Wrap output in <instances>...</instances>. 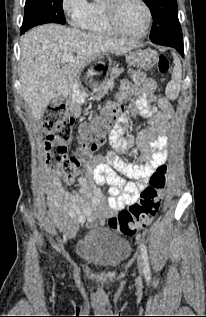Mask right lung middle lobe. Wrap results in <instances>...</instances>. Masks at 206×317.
<instances>
[{"mask_svg":"<svg viewBox=\"0 0 206 317\" xmlns=\"http://www.w3.org/2000/svg\"><path fill=\"white\" fill-rule=\"evenodd\" d=\"M44 23L65 24L62 0H26L21 34Z\"/></svg>","mask_w":206,"mask_h":317,"instance_id":"1","label":"right lung middle lobe"}]
</instances>
